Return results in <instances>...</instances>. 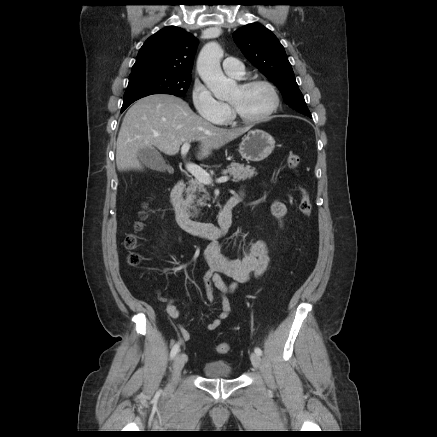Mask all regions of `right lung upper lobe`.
<instances>
[{
	"label": "right lung upper lobe",
	"instance_id": "right-lung-upper-lobe-1",
	"mask_svg": "<svg viewBox=\"0 0 437 437\" xmlns=\"http://www.w3.org/2000/svg\"><path fill=\"white\" fill-rule=\"evenodd\" d=\"M193 34L169 26L149 37L140 48L132 71L154 70L171 75H191L197 48Z\"/></svg>",
	"mask_w": 437,
	"mask_h": 437
}]
</instances>
